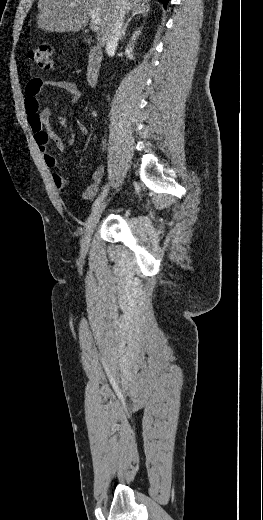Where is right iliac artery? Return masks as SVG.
Listing matches in <instances>:
<instances>
[{"instance_id":"obj_1","label":"right iliac artery","mask_w":263,"mask_h":520,"mask_svg":"<svg viewBox=\"0 0 263 520\" xmlns=\"http://www.w3.org/2000/svg\"><path fill=\"white\" fill-rule=\"evenodd\" d=\"M107 191H108V184L105 185L103 191L101 192V194L98 196V198L95 200L93 206H92V209L94 210L102 201L103 199L105 198L106 194H107Z\"/></svg>"}]
</instances>
